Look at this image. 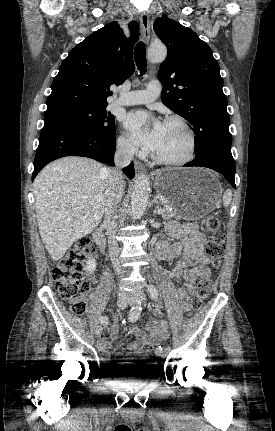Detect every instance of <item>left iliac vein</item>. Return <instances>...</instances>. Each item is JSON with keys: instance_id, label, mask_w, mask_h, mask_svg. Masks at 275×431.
Returning <instances> with one entry per match:
<instances>
[{"instance_id": "left-iliac-vein-1", "label": "left iliac vein", "mask_w": 275, "mask_h": 431, "mask_svg": "<svg viewBox=\"0 0 275 431\" xmlns=\"http://www.w3.org/2000/svg\"><path fill=\"white\" fill-rule=\"evenodd\" d=\"M130 298H131V301H130L131 304L136 303L138 300L143 302H145L146 300V296L142 291L134 292L133 294H131ZM169 352H170V347H165L161 353V357L166 358Z\"/></svg>"}]
</instances>
